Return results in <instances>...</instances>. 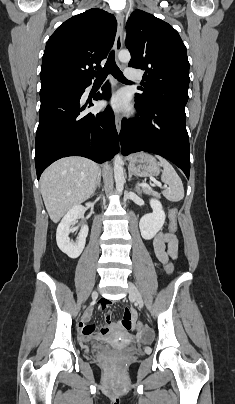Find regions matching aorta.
Segmentation results:
<instances>
[{
  "instance_id": "aorta-1",
  "label": "aorta",
  "mask_w": 235,
  "mask_h": 404,
  "mask_svg": "<svg viewBox=\"0 0 235 404\" xmlns=\"http://www.w3.org/2000/svg\"><path fill=\"white\" fill-rule=\"evenodd\" d=\"M118 58L121 62L127 63L131 59L129 51L122 50L118 54ZM114 178L116 182V189L119 193L122 192L124 187V171H123V160L119 154L114 158Z\"/></svg>"
}]
</instances>
